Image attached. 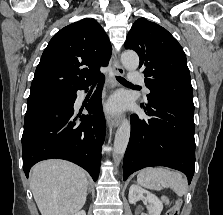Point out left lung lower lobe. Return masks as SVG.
Listing matches in <instances>:
<instances>
[{
    "mask_svg": "<svg viewBox=\"0 0 223 215\" xmlns=\"http://www.w3.org/2000/svg\"><path fill=\"white\" fill-rule=\"evenodd\" d=\"M141 106L150 118L131 116L123 179L145 167L166 166L183 172L190 184L195 165L194 108L156 99Z\"/></svg>",
    "mask_w": 223,
    "mask_h": 215,
    "instance_id": "obj_1",
    "label": "left lung lower lobe"
}]
</instances>
